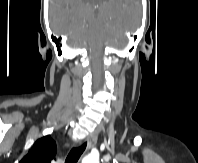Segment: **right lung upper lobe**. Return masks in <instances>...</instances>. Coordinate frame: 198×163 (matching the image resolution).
<instances>
[{
	"label": "right lung upper lobe",
	"mask_w": 198,
	"mask_h": 163,
	"mask_svg": "<svg viewBox=\"0 0 198 163\" xmlns=\"http://www.w3.org/2000/svg\"><path fill=\"white\" fill-rule=\"evenodd\" d=\"M56 143L50 135L38 139L19 163H51L56 156Z\"/></svg>",
	"instance_id": "obj_1"
}]
</instances>
